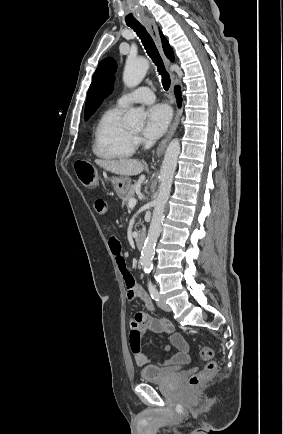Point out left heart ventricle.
<instances>
[{"instance_id":"obj_1","label":"left heart ventricle","mask_w":283,"mask_h":434,"mask_svg":"<svg viewBox=\"0 0 283 434\" xmlns=\"http://www.w3.org/2000/svg\"><path fill=\"white\" fill-rule=\"evenodd\" d=\"M138 130H134L133 132H137Z\"/></svg>"}]
</instances>
